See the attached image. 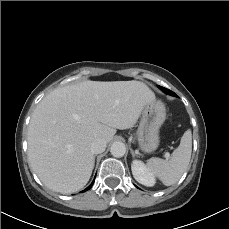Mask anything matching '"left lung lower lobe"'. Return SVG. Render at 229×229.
<instances>
[{"label": "left lung lower lobe", "mask_w": 229, "mask_h": 229, "mask_svg": "<svg viewBox=\"0 0 229 229\" xmlns=\"http://www.w3.org/2000/svg\"><path fill=\"white\" fill-rule=\"evenodd\" d=\"M169 92H170V93H168V94L177 96L174 92H172V91H170V90H169Z\"/></svg>", "instance_id": "1"}]
</instances>
